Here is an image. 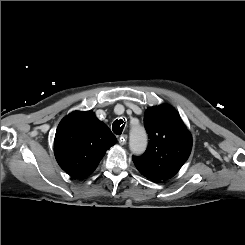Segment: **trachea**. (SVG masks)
I'll list each match as a JSON object with an SVG mask.
<instances>
[{"instance_id":"trachea-1","label":"trachea","mask_w":245,"mask_h":245,"mask_svg":"<svg viewBox=\"0 0 245 245\" xmlns=\"http://www.w3.org/2000/svg\"><path fill=\"white\" fill-rule=\"evenodd\" d=\"M125 127L123 119L115 120L112 125V130L116 135H120Z\"/></svg>"}]
</instances>
